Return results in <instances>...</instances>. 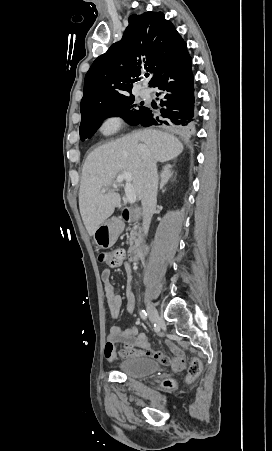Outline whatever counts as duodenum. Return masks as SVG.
Returning <instances> with one entry per match:
<instances>
[{
	"label": "duodenum",
	"mask_w": 272,
	"mask_h": 451,
	"mask_svg": "<svg viewBox=\"0 0 272 451\" xmlns=\"http://www.w3.org/2000/svg\"><path fill=\"white\" fill-rule=\"evenodd\" d=\"M139 214L138 209L125 208L123 210V218L126 221L135 219ZM128 257L131 261H136L141 257V249L138 245H132L128 250Z\"/></svg>",
	"instance_id": "1"
}]
</instances>
